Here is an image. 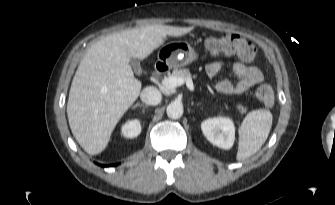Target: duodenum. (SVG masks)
I'll return each mask as SVG.
<instances>
[{"mask_svg":"<svg viewBox=\"0 0 335 205\" xmlns=\"http://www.w3.org/2000/svg\"><path fill=\"white\" fill-rule=\"evenodd\" d=\"M168 70V65L165 61H158L155 65V72L157 75H162Z\"/></svg>","mask_w":335,"mask_h":205,"instance_id":"duodenum-1","label":"duodenum"}]
</instances>
